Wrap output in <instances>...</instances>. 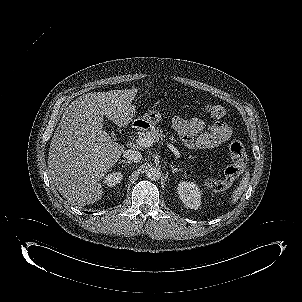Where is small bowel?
<instances>
[{
    "instance_id": "1",
    "label": "small bowel",
    "mask_w": 302,
    "mask_h": 302,
    "mask_svg": "<svg viewBox=\"0 0 302 302\" xmlns=\"http://www.w3.org/2000/svg\"><path fill=\"white\" fill-rule=\"evenodd\" d=\"M172 127L188 148L211 149L225 143L232 134L229 125L223 121H216L205 130L204 121L198 118L175 117Z\"/></svg>"
}]
</instances>
